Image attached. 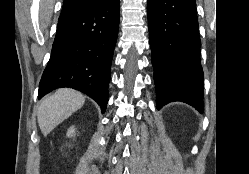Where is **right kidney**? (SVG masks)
Instances as JSON below:
<instances>
[{"label":"right kidney","instance_id":"right-kidney-1","mask_svg":"<svg viewBox=\"0 0 249 174\" xmlns=\"http://www.w3.org/2000/svg\"><path fill=\"white\" fill-rule=\"evenodd\" d=\"M75 131H76L75 127L72 126V127H71L70 129H68V131H67V137L75 136Z\"/></svg>","mask_w":249,"mask_h":174}]
</instances>
